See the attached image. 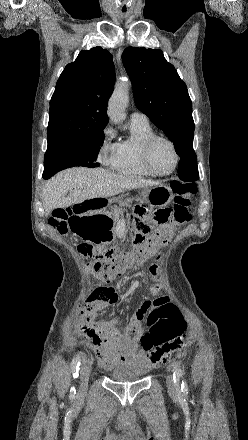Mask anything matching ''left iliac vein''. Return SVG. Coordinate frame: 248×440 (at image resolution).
Returning a JSON list of instances; mask_svg holds the SVG:
<instances>
[{"instance_id":"obj_1","label":"left iliac vein","mask_w":248,"mask_h":440,"mask_svg":"<svg viewBox=\"0 0 248 440\" xmlns=\"http://www.w3.org/2000/svg\"><path fill=\"white\" fill-rule=\"evenodd\" d=\"M166 382H167L168 392L171 395H175L177 392V384L174 382L171 374L167 375Z\"/></svg>"}]
</instances>
